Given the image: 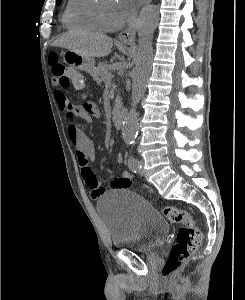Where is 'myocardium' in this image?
I'll return each mask as SVG.
<instances>
[{
  "label": "myocardium",
  "mask_w": 245,
  "mask_h": 300,
  "mask_svg": "<svg viewBox=\"0 0 245 300\" xmlns=\"http://www.w3.org/2000/svg\"><path fill=\"white\" fill-rule=\"evenodd\" d=\"M103 1L104 0H100V2L97 5V15L101 27L105 30H116L121 28L125 24L127 19L121 20L119 22L109 21L104 11Z\"/></svg>",
  "instance_id": "obj_1"
}]
</instances>
